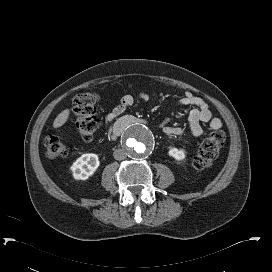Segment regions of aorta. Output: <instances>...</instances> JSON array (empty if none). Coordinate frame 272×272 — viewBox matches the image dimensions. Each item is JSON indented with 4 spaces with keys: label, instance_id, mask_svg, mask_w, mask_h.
Listing matches in <instances>:
<instances>
[{
    "label": "aorta",
    "instance_id": "762f6f07",
    "mask_svg": "<svg viewBox=\"0 0 272 272\" xmlns=\"http://www.w3.org/2000/svg\"><path fill=\"white\" fill-rule=\"evenodd\" d=\"M122 142L130 157L141 159L151 153L155 145V138L147 127L133 125L125 131Z\"/></svg>",
    "mask_w": 272,
    "mask_h": 272
}]
</instances>
